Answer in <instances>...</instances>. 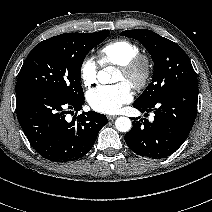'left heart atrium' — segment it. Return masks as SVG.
<instances>
[{"instance_id": "1", "label": "left heart atrium", "mask_w": 212, "mask_h": 212, "mask_svg": "<svg viewBox=\"0 0 212 212\" xmlns=\"http://www.w3.org/2000/svg\"><path fill=\"white\" fill-rule=\"evenodd\" d=\"M87 101L90 107L101 113L112 114L133 98L131 86L125 82L115 85H101L87 93Z\"/></svg>"}]
</instances>
